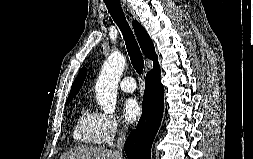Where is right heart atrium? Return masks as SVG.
Returning <instances> with one entry per match:
<instances>
[{
    "instance_id": "obj_1",
    "label": "right heart atrium",
    "mask_w": 253,
    "mask_h": 159,
    "mask_svg": "<svg viewBox=\"0 0 253 159\" xmlns=\"http://www.w3.org/2000/svg\"><path fill=\"white\" fill-rule=\"evenodd\" d=\"M101 140L103 144H111L126 130L122 122L114 115L100 113Z\"/></svg>"
}]
</instances>
